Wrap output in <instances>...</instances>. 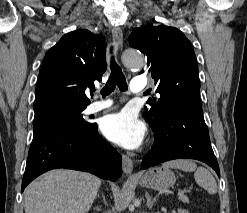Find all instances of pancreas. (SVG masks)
I'll return each mask as SVG.
<instances>
[{"mask_svg": "<svg viewBox=\"0 0 247 213\" xmlns=\"http://www.w3.org/2000/svg\"><path fill=\"white\" fill-rule=\"evenodd\" d=\"M179 200L182 201L183 203H189V199L186 195L179 196Z\"/></svg>", "mask_w": 247, "mask_h": 213, "instance_id": "obj_1", "label": "pancreas"}]
</instances>
